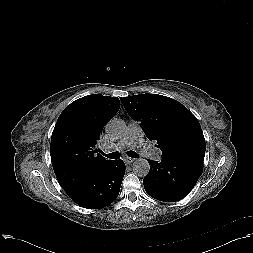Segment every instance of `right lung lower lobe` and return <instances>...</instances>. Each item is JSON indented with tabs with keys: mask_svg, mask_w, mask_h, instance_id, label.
<instances>
[{
	"mask_svg": "<svg viewBox=\"0 0 253 253\" xmlns=\"http://www.w3.org/2000/svg\"><path fill=\"white\" fill-rule=\"evenodd\" d=\"M125 174L122 160H114L98 174L78 183L66 193L78 205L100 209L111 204L119 195Z\"/></svg>",
	"mask_w": 253,
	"mask_h": 253,
	"instance_id": "98d812e1",
	"label": "right lung lower lobe"
}]
</instances>
